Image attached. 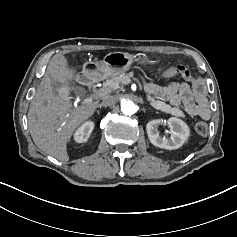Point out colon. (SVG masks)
Returning a JSON list of instances; mask_svg holds the SVG:
<instances>
[{"label":"colon","mask_w":237,"mask_h":237,"mask_svg":"<svg viewBox=\"0 0 237 237\" xmlns=\"http://www.w3.org/2000/svg\"><path fill=\"white\" fill-rule=\"evenodd\" d=\"M174 70H175V73L180 75L182 78L186 80L192 79V74L189 71V69H187L186 67L177 66ZM195 130L200 135H206L208 133L209 126L206 122L200 121L196 123Z\"/></svg>","instance_id":"1"}]
</instances>
